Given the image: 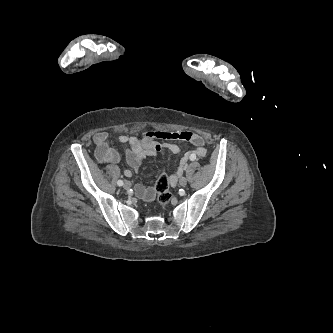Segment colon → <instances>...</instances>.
<instances>
[{"instance_id": "colon-1", "label": "colon", "mask_w": 333, "mask_h": 333, "mask_svg": "<svg viewBox=\"0 0 333 333\" xmlns=\"http://www.w3.org/2000/svg\"><path fill=\"white\" fill-rule=\"evenodd\" d=\"M154 188L159 204L162 206L168 205L172 200V194L169 191V178L165 171L157 177Z\"/></svg>"}]
</instances>
